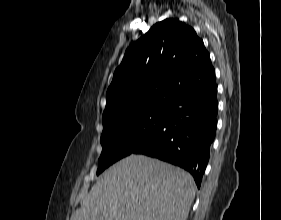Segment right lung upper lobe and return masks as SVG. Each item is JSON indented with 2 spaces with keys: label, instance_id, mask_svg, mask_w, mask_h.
<instances>
[{
  "label": "right lung upper lobe",
  "instance_id": "1",
  "mask_svg": "<svg viewBox=\"0 0 281 220\" xmlns=\"http://www.w3.org/2000/svg\"><path fill=\"white\" fill-rule=\"evenodd\" d=\"M214 83L210 55L194 29L163 20L127 48L107 90L103 126L129 114L168 110Z\"/></svg>",
  "mask_w": 281,
  "mask_h": 220
}]
</instances>
